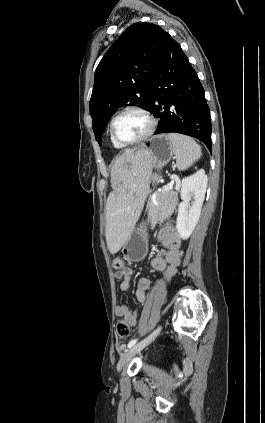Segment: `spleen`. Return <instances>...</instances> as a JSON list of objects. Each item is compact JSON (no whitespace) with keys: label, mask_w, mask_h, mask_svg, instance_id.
<instances>
[{"label":"spleen","mask_w":265,"mask_h":423,"mask_svg":"<svg viewBox=\"0 0 265 423\" xmlns=\"http://www.w3.org/2000/svg\"><path fill=\"white\" fill-rule=\"evenodd\" d=\"M167 136L173 146L178 170L188 169L201 157V147L194 139L177 133H169Z\"/></svg>","instance_id":"1"}]
</instances>
